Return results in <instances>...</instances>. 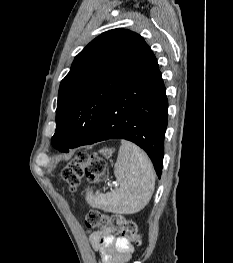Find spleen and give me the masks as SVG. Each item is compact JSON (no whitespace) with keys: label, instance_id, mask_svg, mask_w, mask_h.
I'll return each mask as SVG.
<instances>
[{"label":"spleen","instance_id":"spleen-1","mask_svg":"<svg viewBox=\"0 0 233 263\" xmlns=\"http://www.w3.org/2000/svg\"><path fill=\"white\" fill-rule=\"evenodd\" d=\"M114 174L119 188L108 193H86L93 208L118 214L142 210L150 201L155 188V173L146 153L135 144L121 141Z\"/></svg>","mask_w":233,"mask_h":263}]
</instances>
